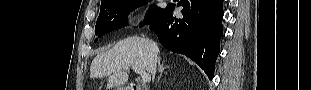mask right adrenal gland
Wrapping results in <instances>:
<instances>
[{
    "mask_svg": "<svg viewBox=\"0 0 311 90\" xmlns=\"http://www.w3.org/2000/svg\"><path fill=\"white\" fill-rule=\"evenodd\" d=\"M158 68H159V72H160V75L158 77V81L160 80V78L162 77V73L163 71L168 68V66L164 67L163 64L160 63V60H158Z\"/></svg>",
    "mask_w": 311,
    "mask_h": 90,
    "instance_id": "obj_1",
    "label": "right adrenal gland"
}]
</instances>
